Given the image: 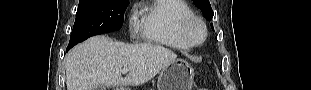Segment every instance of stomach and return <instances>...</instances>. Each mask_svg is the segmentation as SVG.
<instances>
[{
    "label": "stomach",
    "mask_w": 311,
    "mask_h": 90,
    "mask_svg": "<svg viewBox=\"0 0 311 90\" xmlns=\"http://www.w3.org/2000/svg\"><path fill=\"white\" fill-rule=\"evenodd\" d=\"M195 72L185 60L178 59L161 69L157 90H191Z\"/></svg>",
    "instance_id": "obj_1"
}]
</instances>
